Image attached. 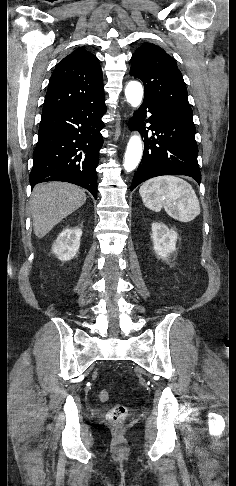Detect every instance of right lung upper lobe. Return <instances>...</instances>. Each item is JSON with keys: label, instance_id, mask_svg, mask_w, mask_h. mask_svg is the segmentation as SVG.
I'll return each instance as SVG.
<instances>
[{"label": "right lung upper lobe", "instance_id": "cb5924a9", "mask_svg": "<svg viewBox=\"0 0 236 486\" xmlns=\"http://www.w3.org/2000/svg\"><path fill=\"white\" fill-rule=\"evenodd\" d=\"M104 98L103 76L95 55L79 47L55 67L42 113Z\"/></svg>", "mask_w": 236, "mask_h": 486}]
</instances>
